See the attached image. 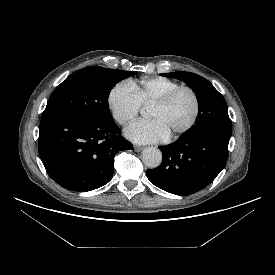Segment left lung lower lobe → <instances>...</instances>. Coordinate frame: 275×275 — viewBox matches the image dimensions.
Returning <instances> with one entry per match:
<instances>
[{
    "label": "left lung lower lobe",
    "instance_id": "1",
    "mask_svg": "<svg viewBox=\"0 0 275 275\" xmlns=\"http://www.w3.org/2000/svg\"><path fill=\"white\" fill-rule=\"evenodd\" d=\"M229 140L230 136L218 134L183 136L160 147L162 164L147 170V177L158 188L176 195L198 192L225 167Z\"/></svg>",
    "mask_w": 275,
    "mask_h": 275
}]
</instances>
